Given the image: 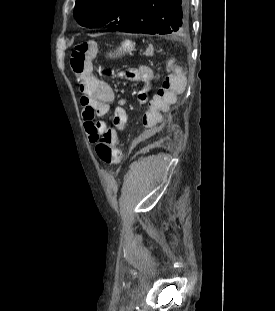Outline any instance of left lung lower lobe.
Here are the masks:
<instances>
[{
	"label": "left lung lower lobe",
	"mask_w": 275,
	"mask_h": 311,
	"mask_svg": "<svg viewBox=\"0 0 275 311\" xmlns=\"http://www.w3.org/2000/svg\"><path fill=\"white\" fill-rule=\"evenodd\" d=\"M189 0H142L134 14L114 31L180 34L188 30Z\"/></svg>",
	"instance_id": "1"
}]
</instances>
